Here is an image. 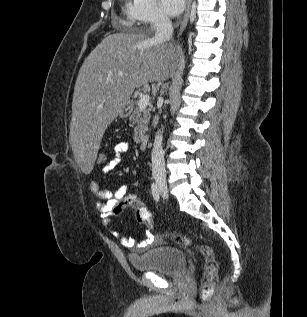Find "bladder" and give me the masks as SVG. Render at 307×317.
Masks as SVG:
<instances>
[{
  "label": "bladder",
  "mask_w": 307,
  "mask_h": 317,
  "mask_svg": "<svg viewBox=\"0 0 307 317\" xmlns=\"http://www.w3.org/2000/svg\"><path fill=\"white\" fill-rule=\"evenodd\" d=\"M129 261L136 271H153L162 275L175 276L186 267L184 254L168 246L155 247L141 256H129Z\"/></svg>",
  "instance_id": "1"
}]
</instances>
